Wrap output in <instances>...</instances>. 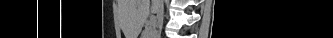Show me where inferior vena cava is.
<instances>
[{
    "label": "inferior vena cava",
    "mask_w": 333,
    "mask_h": 38,
    "mask_svg": "<svg viewBox=\"0 0 333 38\" xmlns=\"http://www.w3.org/2000/svg\"><path fill=\"white\" fill-rule=\"evenodd\" d=\"M164 5L163 0H158V13H157V24L162 26L163 24Z\"/></svg>",
    "instance_id": "602c4592"
}]
</instances>
